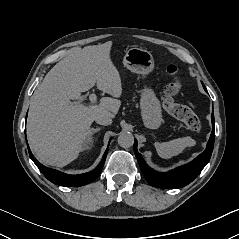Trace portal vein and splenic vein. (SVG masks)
<instances>
[{
  "mask_svg": "<svg viewBox=\"0 0 239 239\" xmlns=\"http://www.w3.org/2000/svg\"><path fill=\"white\" fill-rule=\"evenodd\" d=\"M89 100H90V103H91V104L96 103V100H97L96 94H94V93H93V94H90ZM81 101H82V99H79V101H77L76 104H80ZM81 105H83V106H84V105H85V106H88V105H90V104L82 103Z\"/></svg>",
  "mask_w": 239,
  "mask_h": 239,
  "instance_id": "obj_1",
  "label": "portal vein and splenic vein"
}]
</instances>
